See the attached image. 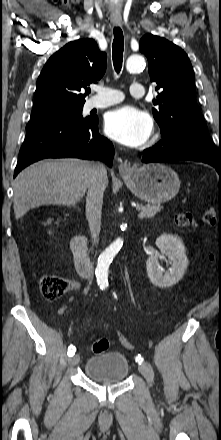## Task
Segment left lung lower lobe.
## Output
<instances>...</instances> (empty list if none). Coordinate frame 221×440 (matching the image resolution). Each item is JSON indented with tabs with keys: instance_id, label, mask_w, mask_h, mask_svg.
<instances>
[{
	"instance_id": "0a47b994",
	"label": "left lung lower lobe",
	"mask_w": 221,
	"mask_h": 440,
	"mask_svg": "<svg viewBox=\"0 0 221 440\" xmlns=\"http://www.w3.org/2000/svg\"><path fill=\"white\" fill-rule=\"evenodd\" d=\"M192 160L213 166L221 175V152H214L201 146L180 148L172 146L165 140L159 141L151 148L144 150L142 162H166Z\"/></svg>"
}]
</instances>
